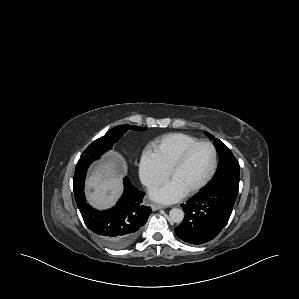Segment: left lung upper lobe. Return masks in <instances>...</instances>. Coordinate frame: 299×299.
Wrapping results in <instances>:
<instances>
[{
  "instance_id": "obj_1",
  "label": "left lung upper lobe",
  "mask_w": 299,
  "mask_h": 299,
  "mask_svg": "<svg viewBox=\"0 0 299 299\" xmlns=\"http://www.w3.org/2000/svg\"><path fill=\"white\" fill-rule=\"evenodd\" d=\"M207 134L214 138L211 134ZM214 145L219 154V166L213 179L204 189L227 188L238 193L239 163L231 150L219 139H215Z\"/></svg>"
}]
</instances>
